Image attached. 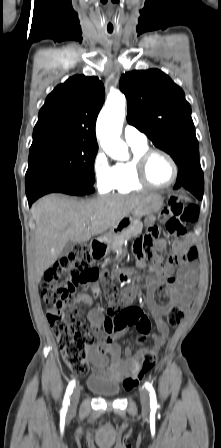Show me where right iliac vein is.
<instances>
[{"label": "right iliac vein", "mask_w": 221, "mask_h": 448, "mask_svg": "<svg viewBox=\"0 0 221 448\" xmlns=\"http://www.w3.org/2000/svg\"><path fill=\"white\" fill-rule=\"evenodd\" d=\"M79 397H80V388L76 387L71 395V401H70V407H69L70 412L75 411L77 404H78Z\"/></svg>", "instance_id": "right-iliac-vein-1"}]
</instances>
